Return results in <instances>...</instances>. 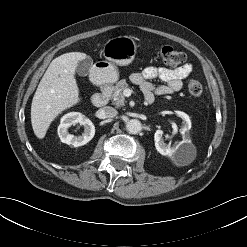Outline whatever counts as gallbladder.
Wrapping results in <instances>:
<instances>
[{
	"label": "gallbladder",
	"instance_id": "obj_1",
	"mask_svg": "<svg viewBox=\"0 0 247 247\" xmlns=\"http://www.w3.org/2000/svg\"><path fill=\"white\" fill-rule=\"evenodd\" d=\"M93 66V60L91 57H86L85 59L78 62L76 67V72L80 76H86L91 71Z\"/></svg>",
	"mask_w": 247,
	"mask_h": 247
}]
</instances>
